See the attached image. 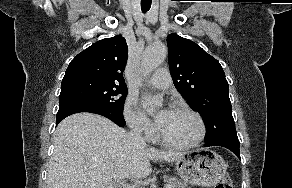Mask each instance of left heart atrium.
Segmentation results:
<instances>
[{
  "label": "left heart atrium",
  "instance_id": "1",
  "mask_svg": "<svg viewBox=\"0 0 292 188\" xmlns=\"http://www.w3.org/2000/svg\"><path fill=\"white\" fill-rule=\"evenodd\" d=\"M158 121H159V118H157V123H158Z\"/></svg>",
  "mask_w": 292,
  "mask_h": 188
}]
</instances>
